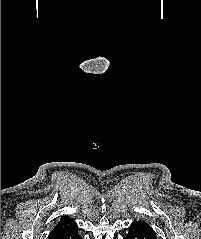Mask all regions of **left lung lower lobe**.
<instances>
[{
  "mask_svg": "<svg viewBox=\"0 0 201 239\" xmlns=\"http://www.w3.org/2000/svg\"><path fill=\"white\" fill-rule=\"evenodd\" d=\"M125 239H157L154 230L145 222H133Z\"/></svg>",
  "mask_w": 201,
  "mask_h": 239,
  "instance_id": "left-lung-lower-lobe-1",
  "label": "left lung lower lobe"
}]
</instances>
